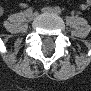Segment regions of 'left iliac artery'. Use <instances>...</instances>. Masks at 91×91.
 <instances>
[{"mask_svg": "<svg viewBox=\"0 0 91 91\" xmlns=\"http://www.w3.org/2000/svg\"><path fill=\"white\" fill-rule=\"evenodd\" d=\"M54 10H55V12H56L57 14H61V13H62L61 8L58 7V6H56V7L54 8Z\"/></svg>", "mask_w": 91, "mask_h": 91, "instance_id": "left-iliac-artery-1", "label": "left iliac artery"}]
</instances>
